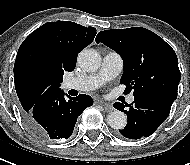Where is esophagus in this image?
I'll return each mask as SVG.
<instances>
[{
  "label": "esophagus",
  "mask_w": 190,
  "mask_h": 165,
  "mask_svg": "<svg viewBox=\"0 0 190 165\" xmlns=\"http://www.w3.org/2000/svg\"><path fill=\"white\" fill-rule=\"evenodd\" d=\"M98 103L102 105L107 112H110L113 110V106L109 103L103 102L101 100H99Z\"/></svg>",
  "instance_id": "1"
}]
</instances>
